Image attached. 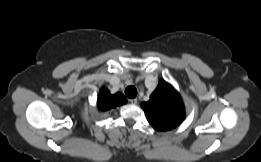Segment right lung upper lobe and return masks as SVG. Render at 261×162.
<instances>
[{
  "label": "right lung upper lobe",
  "mask_w": 261,
  "mask_h": 162,
  "mask_svg": "<svg viewBox=\"0 0 261 162\" xmlns=\"http://www.w3.org/2000/svg\"><path fill=\"white\" fill-rule=\"evenodd\" d=\"M127 99L122 93L111 94L106 88H101L97 100L98 108L102 111H107L122 104H125Z\"/></svg>",
  "instance_id": "1"
}]
</instances>
